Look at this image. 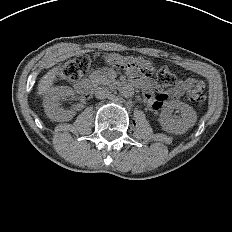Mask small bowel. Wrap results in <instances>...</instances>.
<instances>
[{
  "label": "small bowel",
  "mask_w": 232,
  "mask_h": 232,
  "mask_svg": "<svg viewBox=\"0 0 232 232\" xmlns=\"http://www.w3.org/2000/svg\"><path fill=\"white\" fill-rule=\"evenodd\" d=\"M105 61L110 65H117L118 72L121 75H129L134 79H138L144 89L145 99L153 109L160 108L168 99H176L186 88L185 82H179L168 94L154 95V83L150 76L154 72V66L147 59L123 57L108 53L105 56Z\"/></svg>",
  "instance_id": "c3829d8e"
}]
</instances>
